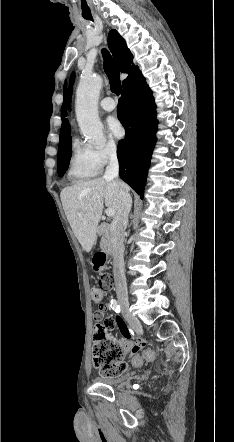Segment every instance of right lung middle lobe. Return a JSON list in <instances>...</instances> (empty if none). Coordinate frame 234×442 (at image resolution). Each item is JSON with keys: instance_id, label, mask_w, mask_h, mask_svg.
Instances as JSON below:
<instances>
[{"instance_id": "obj_1", "label": "right lung middle lobe", "mask_w": 234, "mask_h": 442, "mask_svg": "<svg viewBox=\"0 0 234 442\" xmlns=\"http://www.w3.org/2000/svg\"><path fill=\"white\" fill-rule=\"evenodd\" d=\"M71 139H69L64 145L59 146L58 149V175L61 177L64 175L69 166V160L72 155V150L70 148Z\"/></svg>"}]
</instances>
